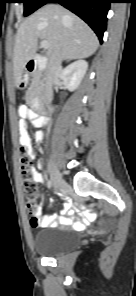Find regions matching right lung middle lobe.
Masks as SVG:
<instances>
[{
  "mask_svg": "<svg viewBox=\"0 0 136 296\" xmlns=\"http://www.w3.org/2000/svg\"><path fill=\"white\" fill-rule=\"evenodd\" d=\"M24 3V15L28 16L46 3V0H19Z\"/></svg>",
  "mask_w": 136,
  "mask_h": 296,
  "instance_id": "dd1d6c3e",
  "label": "right lung middle lobe"
}]
</instances>
